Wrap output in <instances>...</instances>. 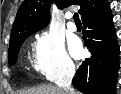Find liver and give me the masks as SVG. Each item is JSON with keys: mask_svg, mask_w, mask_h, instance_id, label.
Wrapping results in <instances>:
<instances>
[{"mask_svg": "<svg viewBox=\"0 0 121 94\" xmlns=\"http://www.w3.org/2000/svg\"><path fill=\"white\" fill-rule=\"evenodd\" d=\"M19 94H64L60 87L53 85H41L36 88L23 90ZM74 94H80L79 92H74Z\"/></svg>", "mask_w": 121, "mask_h": 94, "instance_id": "1", "label": "liver"}]
</instances>
